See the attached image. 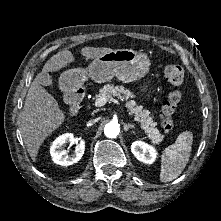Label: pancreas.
<instances>
[{
    "label": "pancreas",
    "instance_id": "1",
    "mask_svg": "<svg viewBox=\"0 0 221 221\" xmlns=\"http://www.w3.org/2000/svg\"><path fill=\"white\" fill-rule=\"evenodd\" d=\"M97 98L106 97L112 98L117 97L122 101H125V105L130 115H134L135 121L140 122L141 128L145 131L152 143L159 144L164 136L160 134L159 130L155 127L156 123L153 121V116L148 110L143 109L142 106H138L137 103L132 99L134 94L124 88L123 86H114L113 84H107L100 89Z\"/></svg>",
    "mask_w": 221,
    "mask_h": 221
}]
</instances>
